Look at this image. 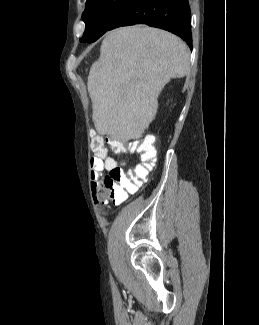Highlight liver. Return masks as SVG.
Returning a JSON list of instances; mask_svg holds the SVG:
<instances>
[{
    "mask_svg": "<svg viewBox=\"0 0 259 325\" xmlns=\"http://www.w3.org/2000/svg\"><path fill=\"white\" fill-rule=\"evenodd\" d=\"M189 57L186 44L161 29L109 32L87 83L98 134L124 143L141 138L156 116L159 94L172 78L187 74Z\"/></svg>",
    "mask_w": 259,
    "mask_h": 325,
    "instance_id": "obj_1",
    "label": "liver"
}]
</instances>
